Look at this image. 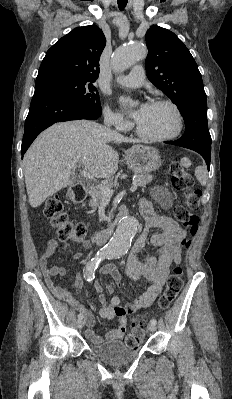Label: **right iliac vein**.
Here are the masks:
<instances>
[{
	"label": "right iliac vein",
	"mask_w": 232,
	"mask_h": 399,
	"mask_svg": "<svg viewBox=\"0 0 232 399\" xmlns=\"http://www.w3.org/2000/svg\"><path fill=\"white\" fill-rule=\"evenodd\" d=\"M84 325H85L84 321H79L78 324H77V327H78V329H81V327L84 326Z\"/></svg>",
	"instance_id": "obj_1"
}]
</instances>
